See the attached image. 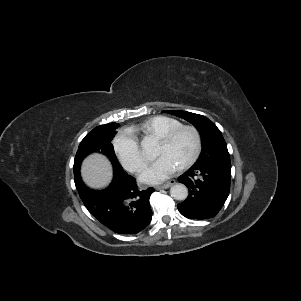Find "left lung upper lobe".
Listing matches in <instances>:
<instances>
[{"label": "left lung upper lobe", "instance_id": "left-lung-upper-lobe-1", "mask_svg": "<svg viewBox=\"0 0 301 301\" xmlns=\"http://www.w3.org/2000/svg\"><path fill=\"white\" fill-rule=\"evenodd\" d=\"M164 112L189 121L199 131L202 139V152L194 165L231 167L225 140L212 121L205 116L186 111L165 110Z\"/></svg>", "mask_w": 301, "mask_h": 301}]
</instances>
